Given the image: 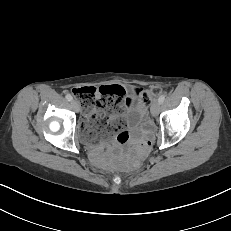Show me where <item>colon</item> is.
I'll return each mask as SVG.
<instances>
[{"label":"colon","mask_w":231,"mask_h":231,"mask_svg":"<svg viewBox=\"0 0 231 231\" xmlns=\"http://www.w3.org/2000/svg\"><path fill=\"white\" fill-rule=\"evenodd\" d=\"M73 94L79 99L82 107L89 111L93 108L105 112L120 109L126 101L125 89L119 85H108L99 88H75ZM159 92V88L154 87L150 92H142L143 101L148 107L152 102V97ZM91 123L100 129L105 128L108 133L116 136L118 141H126L128 132L126 131L127 121L121 114H113L108 118L104 116L90 115ZM141 167L139 161H133L130 168L138 170Z\"/></svg>","instance_id":"colon-1"}]
</instances>
